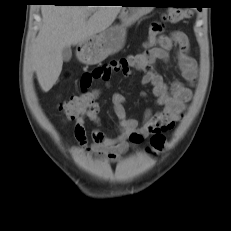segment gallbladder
Wrapping results in <instances>:
<instances>
[{
  "label": "gallbladder",
  "instance_id": "gallbladder-1",
  "mask_svg": "<svg viewBox=\"0 0 231 231\" xmlns=\"http://www.w3.org/2000/svg\"><path fill=\"white\" fill-rule=\"evenodd\" d=\"M72 57V51L70 46H66L62 50V58L65 62H68Z\"/></svg>",
  "mask_w": 231,
  "mask_h": 231
}]
</instances>
